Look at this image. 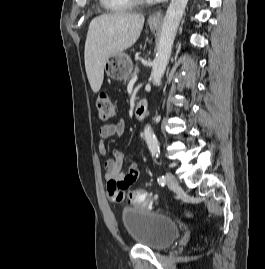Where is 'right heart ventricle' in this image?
<instances>
[{"instance_id":"e07e8e85","label":"right heart ventricle","mask_w":265,"mask_h":269,"mask_svg":"<svg viewBox=\"0 0 265 269\" xmlns=\"http://www.w3.org/2000/svg\"><path fill=\"white\" fill-rule=\"evenodd\" d=\"M103 7L109 12H125L131 9L130 0H100Z\"/></svg>"}]
</instances>
